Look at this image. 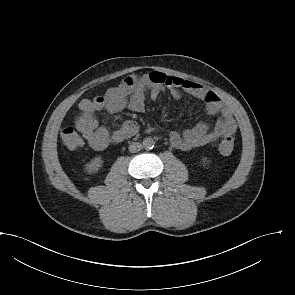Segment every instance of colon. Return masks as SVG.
Masks as SVG:
<instances>
[{"label":"colon","mask_w":295,"mask_h":295,"mask_svg":"<svg viewBox=\"0 0 295 295\" xmlns=\"http://www.w3.org/2000/svg\"><path fill=\"white\" fill-rule=\"evenodd\" d=\"M61 139L68 149H76L82 145V138L73 127H66L61 131ZM234 149V138L232 135L226 136L220 143L219 151L223 155H229Z\"/></svg>","instance_id":"obj_1"}]
</instances>
